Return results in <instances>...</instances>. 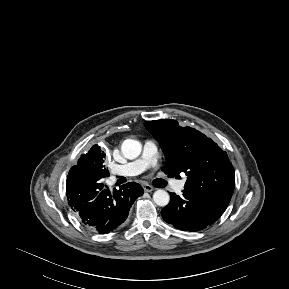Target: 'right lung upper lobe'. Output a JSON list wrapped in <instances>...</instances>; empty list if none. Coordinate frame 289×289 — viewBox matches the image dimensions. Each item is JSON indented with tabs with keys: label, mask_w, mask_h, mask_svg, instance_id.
<instances>
[{
	"label": "right lung upper lobe",
	"mask_w": 289,
	"mask_h": 289,
	"mask_svg": "<svg viewBox=\"0 0 289 289\" xmlns=\"http://www.w3.org/2000/svg\"><path fill=\"white\" fill-rule=\"evenodd\" d=\"M104 152L103 149H101L98 145H94L91 147V149L89 150L88 153L84 154L81 156V158L79 159L80 162H83V161H91L93 159H95L96 157V154H98L99 152ZM105 154V153H104ZM106 155V154H105ZM76 168H80V167H76ZM82 169V168H81ZM85 170V169H83ZM87 171V170H85ZM89 172V171H87ZM90 173V172H89Z\"/></svg>",
	"instance_id": "obj_1"
}]
</instances>
